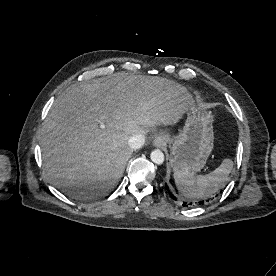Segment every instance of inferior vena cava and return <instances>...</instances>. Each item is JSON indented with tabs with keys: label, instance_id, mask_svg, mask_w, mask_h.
Wrapping results in <instances>:
<instances>
[{
	"label": "inferior vena cava",
	"instance_id": "inferior-vena-cava-1",
	"mask_svg": "<svg viewBox=\"0 0 276 276\" xmlns=\"http://www.w3.org/2000/svg\"><path fill=\"white\" fill-rule=\"evenodd\" d=\"M145 143V136L134 134L128 139V145L131 149H140Z\"/></svg>",
	"mask_w": 276,
	"mask_h": 276
}]
</instances>
